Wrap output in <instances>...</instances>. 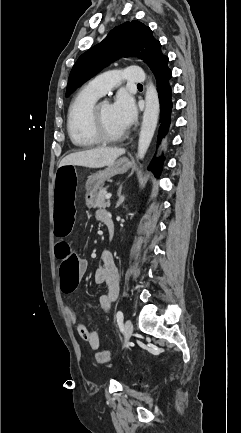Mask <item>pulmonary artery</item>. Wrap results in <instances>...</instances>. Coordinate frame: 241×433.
Instances as JSON below:
<instances>
[{
	"label": "pulmonary artery",
	"mask_w": 241,
	"mask_h": 433,
	"mask_svg": "<svg viewBox=\"0 0 241 433\" xmlns=\"http://www.w3.org/2000/svg\"><path fill=\"white\" fill-rule=\"evenodd\" d=\"M145 80L144 71L140 66H127L122 71L115 70L100 74L91 79L85 87L100 97L122 82L142 84Z\"/></svg>",
	"instance_id": "pulmonary-artery-1"
}]
</instances>
